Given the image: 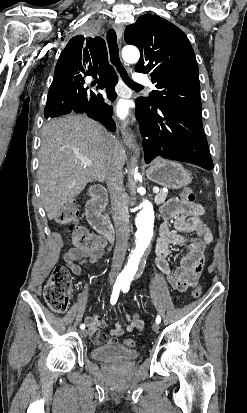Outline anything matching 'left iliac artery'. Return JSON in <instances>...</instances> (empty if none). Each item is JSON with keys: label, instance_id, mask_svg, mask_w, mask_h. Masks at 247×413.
<instances>
[{"label": "left iliac artery", "instance_id": "left-iliac-artery-1", "mask_svg": "<svg viewBox=\"0 0 247 413\" xmlns=\"http://www.w3.org/2000/svg\"><path fill=\"white\" fill-rule=\"evenodd\" d=\"M129 288H130V285H129V284H125V285H123V286L121 287L123 293L128 292V291H129ZM160 322H161V317L158 315V316L156 317V323L159 324Z\"/></svg>", "mask_w": 247, "mask_h": 413}]
</instances>
